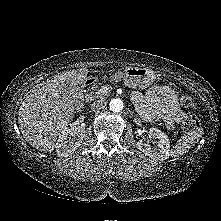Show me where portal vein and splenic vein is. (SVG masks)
<instances>
[{
  "instance_id": "portal-vein-and-splenic-vein-1",
  "label": "portal vein and splenic vein",
  "mask_w": 221,
  "mask_h": 221,
  "mask_svg": "<svg viewBox=\"0 0 221 221\" xmlns=\"http://www.w3.org/2000/svg\"><path fill=\"white\" fill-rule=\"evenodd\" d=\"M106 90H107V88H106V87H102L101 89H99V92H101V93H105V92H106Z\"/></svg>"
}]
</instances>
